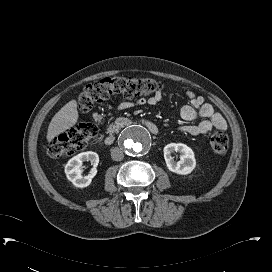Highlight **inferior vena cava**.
<instances>
[{
	"label": "inferior vena cava",
	"instance_id": "1",
	"mask_svg": "<svg viewBox=\"0 0 272 272\" xmlns=\"http://www.w3.org/2000/svg\"><path fill=\"white\" fill-rule=\"evenodd\" d=\"M111 158L114 161H121L124 158V154L118 147H114L111 149Z\"/></svg>",
	"mask_w": 272,
	"mask_h": 272
}]
</instances>
